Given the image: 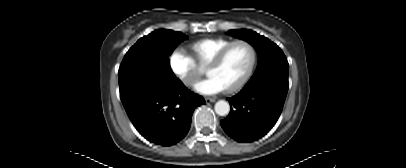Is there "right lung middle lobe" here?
<instances>
[{
	"mask_svg": "<svg viewBox=\"0 0 406 168\" xmlns=\"http://www.w3.org/2000/svg\"><path fill=\"white\" fill-rule=\"evenodd\" d=\"M185 39L183 33L166 29L140 38L126 53L118 71L121 101L177 79L168 57Z\"/></svg>",
	"mask_w": 406,
	"mask_h": 168,
	"instance_id": "dd1d6c3e",
	"label": "right lung middle lobe"
}]
</instances>
